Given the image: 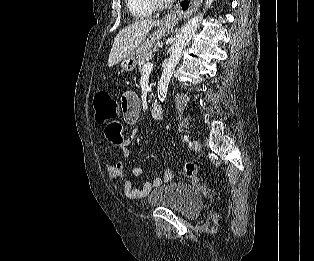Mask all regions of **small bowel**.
I'll return each mask as SVG.
<instances>
[{
	"label": "small bowel",
	"instance_id": "1",
	"mask_svg": "<svg viewBox=\"0 0 314 261\" xmlns=\"http://www.w3.org/2000/svg\"><path fill=\"white\" fill-rule=\"evenodd\" d=\"M120 110L127 123L134 124L136 122L140 112V100L136 92L126 90L123 93L120 100ZM103 128V137L107 145H109V148H120L124 158H128L130 156L129 146L135 139L137 131H132L125 138L123 120H106V124H104ZM159 163L163 167V175L145 181L141 188H137L133 185L132 180L125 171V165L121 160L109 165L108 172L115 182L121 183L123 193L128 199H139L146 197L153 188L159 187L172 180L173 173L167 166L166 161L160 159ZM144 171L145 168L142 166L130 168V174L135 177L141 176Z\"/></svg>",
	"mask_w": 314,
	"mask_h": 261
}]
</instances>
